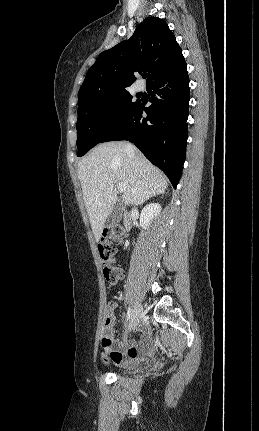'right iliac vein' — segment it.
I'll use <instances>...</instances> for the list:
<instances>
[{"mask_svg":"<svg viewBox=\"0 0 259 431\" xmlns=\"http://www.w3.org/2000/svg\"><path fill=\"white\" fill-rule=\"evenodd\" d=\"M142 316H143V307L140 304L135 305L133 315L129 323L130 330L134 329L138 325Z\"/></svg>","mask_w":259,"mask_h":431,"instance_id":"obj_1","label":"right iliac vein"}]
</instances>
